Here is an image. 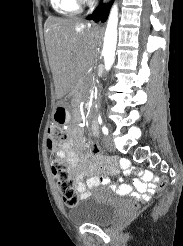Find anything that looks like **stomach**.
<instances>
[{
  "label": "stomach",
  "instance_id": "stomach-1",
  "mask_svg": "<svg viewBox=\"0 0 183 246\" xmlns=\"http://www.w3.org/2000/svg\"><path fill=\"white\" fill-rule=\"evenodd\" d=\"M54 118L58 123H67L70 119L69 111L64 106H58L54 111Z\"/></svg>",
  "mask_w": 183,
  "mask_h": 246
}]
</instances>
